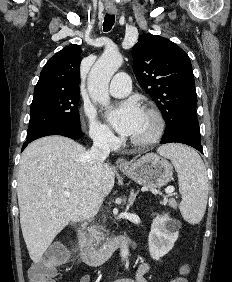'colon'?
<instances>
[{"label": "colon", "mask_w": 232, "mask_h": 282, "mask_svg": "<svg viewBox=\"0 0 232 282\" xmlns=\"http://www.w3.org/2000/svg\"><path fill=\"white\" fill-rule=\"evenodd\" d=\"M67 258L66 250L62 247L52 249L46 258L35 262L29 271V282H55L56 268ZM171 282H188L184 277L175 278Z\"/></svg>", "instance_id": "obj_1"}]
</instances>
